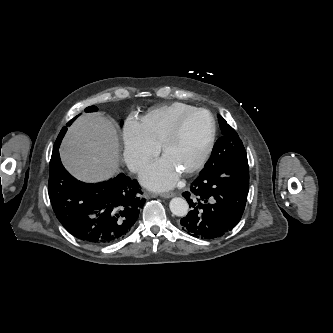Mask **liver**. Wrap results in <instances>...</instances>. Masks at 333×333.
Returning <instances> with one entry per match:
<instances>
[{"mask_svg": "<svg viewBox=\"0 0 333 333\" xmlns=\"http://www.w3.org/2000/svg\"><path fill=\"white\" fill-rule=\"evenodd\" d=\"M118 137L114 125L99 113L80 116L68 129L60 156L78 180L98 182L114 175L119 166Z\"/></svg>", "mask_w": 333, "mask_h": 333, "instance_id": "liver-1", "label": "liver"}]
</instances>
